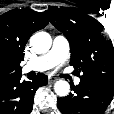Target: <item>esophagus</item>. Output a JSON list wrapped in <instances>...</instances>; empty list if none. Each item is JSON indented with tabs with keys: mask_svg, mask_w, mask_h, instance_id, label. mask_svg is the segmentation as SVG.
Instances as JSON below:
<instances>
[{
	"mask_svg": "<svg viewBox=\"0 0 114 114\" xmlns=\"http://www.w3.org/2000/svg\"><path fill=\"white\" fill-rule=\"evenodd\" d=\"M58 79L56 78V77H54V76H50L49 77V82L50 83H54V82H56Z\"/></svg>",
	"mask_w": 114,
	"mask_h": 114,
	"instance_id": "1",
	"label": "esophagus"
}]
</instances>
